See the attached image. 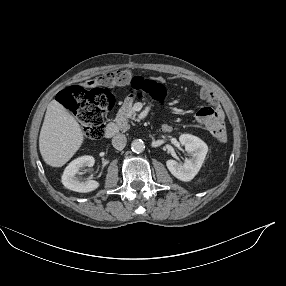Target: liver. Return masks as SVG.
Masks as SVG:
<instances>
[{
    "label": "liver",
    "mask_w": 286,
    "mask_h": 286,
    "mask_svg": "<svg viewBox=\"0 0 286 286\" xmlns=\"http://www.w3.org/2000/svg\"><path fill=\"white\" fill-rule=\"evenodd\" d=\"M83 141L84 134L77 120L58 101L52 100L39 136V149L45 163L52 167L63 166Z\"/></svg>",
    "instance_id": "6515ba94"
}]
</instances>
